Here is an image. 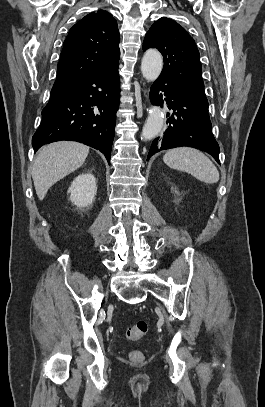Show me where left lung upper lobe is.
<instances>
[{
	"instance_id": "left-lung-upper-lobe-1",
	"label": "left lung upper lobe",
	"mask_w": 265,
	"mask_h": 407,
	"mask_svg": "<svg viewBox=\"0 0 265 407\" xmlns=\"http://www.w3.org/2000/svg\"><path fill=\"white\" fill-rule=\"evenodd\" d=\"M157 48L164 57L161 75L181 87L198 102L208 105L202 67L194 39L175 21L160 18L147 32L143 50Z\"/></svg>"
}]
</instances>
